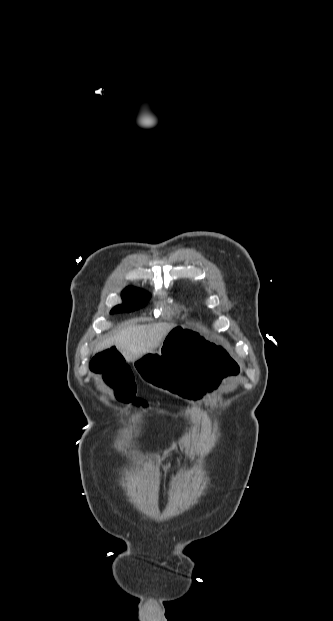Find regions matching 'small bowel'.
Listing matches in <instances>:
<instances>
[{
	"label": "small bowel",
	"instance_id": "small-bowel-1",
	"mask_svg": "<svg viewBox=\"0 0 333 621\" xmlns=\"http://www.w3.org/2000/svg\"><path fill=\"white\" fill-rule=\"evenodd\" d=\"M90 370L101 376L103 382L120 402L145 403L136 397V383L133 372L123 354L116 347H109L97 353L90 362Z\"/></svg>",
	"mask_w": 333,
	"mask_h": 621
}]
</instances>
